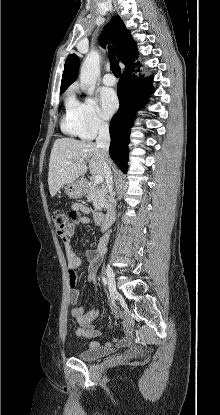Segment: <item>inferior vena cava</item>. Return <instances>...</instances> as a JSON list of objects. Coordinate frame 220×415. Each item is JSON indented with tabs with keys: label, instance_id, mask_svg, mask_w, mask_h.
I'll use <instances>...</instances> for the list:
<instances>
[{
	"label": "inferior vena cava",
	"instance_id": "inferior-vena-cava-1",
	"mask_svg": "<svg viewBox=\"0 0 220 415\" xmlns=\"http://www.w3.org/2000/svg\"><path fill=\"white\" fill-rule=\"evenodd\" d=\"M96 145L100 148L104 155L108 156L109 145H110V134H109V125L107 123H101L99 125V135L96 138ZM104 177L106 179V183L109 190L108 196V215L106 219V223L110 225L113 222V212L115 209V199L113 196V180H112V172L109 163L104 160Z\"/></svg>",
	"mask_w": 220,
	"mask_h": 415
}]
</instances>
